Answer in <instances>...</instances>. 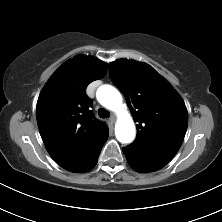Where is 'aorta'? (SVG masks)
<instances>
[{
  "instance_id": "aorta-1",
  "label": "aorta",
  "mask_w": 222,
  "mask_h": 222,
  "mask_svg": "<svg viewBox=\"0 0 222 222\" xmlns=\"http://www.w3.org/2000/svg\"><path fill=\"white\" fill-rule=\"evenodd\" d=\"M96 97L101 105L117 114L115 135L118 141L132 142L136 133L134 121L127 112L119 91L111 85H102L98 88Z\"/></svg>"
}]
</instances>
